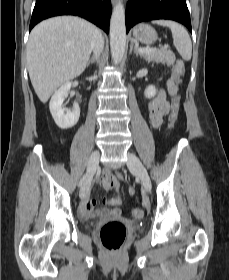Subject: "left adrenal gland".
<instances>
[{
  "label": "left adrenal gland",
  "mask_w": 229,
  "mask_h": 280,
  "mask_svg": "<svg viewBox=\"0 0 229 280\" xmlns=\"http://www.w3.org/2000/svg\"><path fill=\"white\" fill-rule=\"evenodd\" d=\"M132 51H134V53H135L136 55H138V54H139V52H138L137 48L134 46V42H133V41H131V44H130V51H129V53L131 54V53H132Z\"/></svg>",
  "instance_id": "a2214340"
}]
</instances>
